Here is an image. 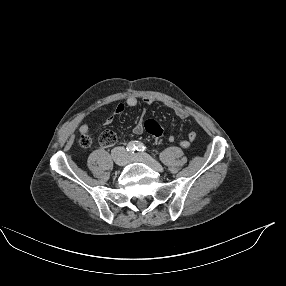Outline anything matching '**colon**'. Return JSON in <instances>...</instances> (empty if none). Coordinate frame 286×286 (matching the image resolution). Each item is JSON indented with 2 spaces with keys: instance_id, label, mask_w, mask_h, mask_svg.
Returning <instances> with one entry per match:
<instances>
[{
  "instance_id": "obj_1",
  "label": "colon",
  "mask_w": 286,
  "mask_h": 286,
  "mask_svg": "<svg viewBox=\"0 0 286 286\" xmlns=\"http://www.w3.org/2000/svg\"><path fill=\"white\" fill-rule=\"evenodd\" d=\"M145 130L156 137L162 136L165 129L155 120L147 119L144 124ZM117 140V135L112 130H105L101 133L99 141L103 146H111ZM81 145L83 147H88L91 144V139L87 136H82Z\"/></svg>"
}]
</instances>
